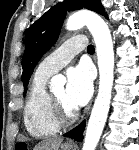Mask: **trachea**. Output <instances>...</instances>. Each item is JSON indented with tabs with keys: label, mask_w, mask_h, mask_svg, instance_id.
Returning a JSON list of instances; mask_svg holds the SVG:
<instances>
[{
	"label": "trachea",
	"mask_w": 139,
	"mask_h": 150,
	"mask_svg": "<svg viewBox=\"0 0 139 150\" xmlns=\"http://www.w3.org/2000/svg\"><path fill=\"white\" fill-rule=\"evenodd\" d=\"M87 51L90 52V53L94 52L95 51L94 46L93 45H89L87 47Z\"/></svg>",
	"instance_id": "trachea-1"
}]
</instances>
